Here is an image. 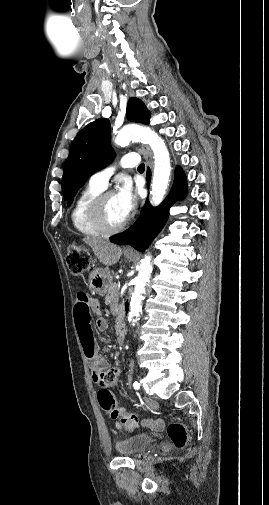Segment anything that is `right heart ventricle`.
<instances>
[{"label": "right heart ventricle", "instance_id": "obj_1", "mask_svg": "<svg viewBox=\"0 0 269 505\" xmlns=\"http://www.w3.org/2000/svg\"><path fill=\"white\" fill-rule=\"evenodd\" d=\"M103 191L92 183H89L77 197L72 211L71 221L75 230L86 237H99L104 233L92 222L89 208L92 201Z\"/></svg>", "mask_w": 269, "mask_h": 505}]
</instances>
